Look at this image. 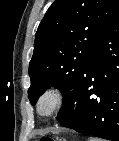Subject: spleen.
Masks as SVG:
<instances>
[{
  "label": "spleen",
  "mask_w": 119,
  "mask_h": 141,
  "mask_svg": "<svg viewBox=\"0 0 119 141\" xmlns=\"http://www.w3.org/2000/svg\"><path fill=\"white\" fill-rule=\"evenodd\" d=\"M88 141H98L97 139H95V138H89V140Z\"/></svg>",
  "instance_id": "spleen-1"
}]
</instances>
